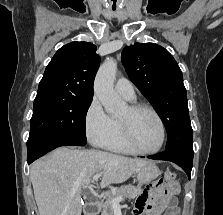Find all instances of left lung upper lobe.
<instances>
[{
	"label": "left lung upper lobe",
	"mask_w": 223,
	"mask_h": 215,
	"mask_svg": "<svg viewBox=\"0 0 223 215\" xmlns=\"http://www.w3.org/2000/svg\"><path fill=\"white\" fill-rule=\"evenodd\" d=\"M121 59L129 78L165 125L166 150L193 151L186 89L173 56L155 43H135L123 49Z\"/></svg>",
	"instance_id": "left-lung-upper-lobe-1"
}]
</instances>
